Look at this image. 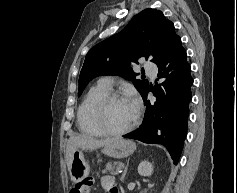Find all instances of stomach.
Returning <instances> with one entry per match:
<instances>
[{
    "label": "stomach",
    "instance_id": "1",
    "mask_svg": "<svg viewBox=\"0 0 237 193\" xmlns=\"http://www.w3.org/2000/svg\"><path fill=\"white\" fill-rule=\"evenodd\" d=\"M136 149L134 142L117 138L103 146L102 152L112 158H125L131 155ZM90 173L89 163L85 160L82 150L76 149L72 153L70 176L73 182H79L88 177Z\"/></svg>",
    "mask_w": 237,
    "mask_h": 193
}]
</instances>
